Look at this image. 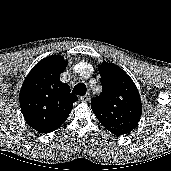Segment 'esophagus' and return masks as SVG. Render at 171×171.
<instances>
[{
	"instance_id": "esophagus-1",
	"label": "esophagus",
	"mask_w": 171,
	"mask_h": 171,
	"mask_svg": "<svg viewBox=\"0 0 171 171\" xmlns=\"http://www.w3.org/2000/svg\"><path fill=\"white\" fill-rule=\"evenodd\" d=\"M79 99L82 102H88L91 99V96L89 94H87V95H84V96H80Z\"/></svg>"
}]
</instances>
